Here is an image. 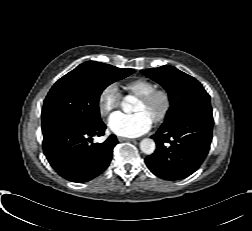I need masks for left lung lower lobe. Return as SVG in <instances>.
Segmentation results:
<instances>
[{"label":"left lung lower lobe","instance_id":"left-lung-lower-lobe-1","mask_svg":"<svg viewBox=\"0 0 252 231\" xmlns=\"http://www.w3.org/2000/svg\"><path fill=\"white\" fill-rule=\"evenodd\" d=\"M212 110H193L161 127L152 138L156 150L145 158L152 173L166 180H177L194 173L212 141Z\"/></svg>","mask_w":252,"mask_h":231}]
</instances>
